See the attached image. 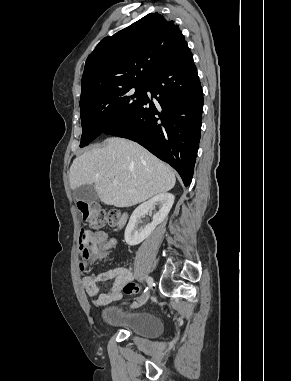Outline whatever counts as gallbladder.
Segmentation results:
<instances>
[{
  "mask_svg": "<svg viewBox=\"0 0 291 381\" xmlns=\"http://www.w3.org/2000/svg\"><path fill=\"white\" fill-rule=\"evenodd\" d=\"M73 196L79 200V201H84V202H91L94 201L98 198V194L96 192V189L94 185L92 184H87V185H82L73 191Z\"/></svg>",
  "mask_w": 291,
  "mask_h": 381,
  "instance_id": "bac80fb5",
  "label": "gallbladder"
}]
</instances>
